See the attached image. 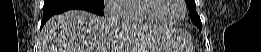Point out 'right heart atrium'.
I'll return each mask as SVG.
<instances>
[{
    "label": "right heart atrium",
    "mask_w": 261,
    "mask_h": 52,
    "mask_svg": "<svg viewBox=\"0 0 261 52\" xmlns=\"http://www.w3.org/2000/svg\"><path fill=\"white\" fill-rule=\"evenodd\" d=\"M126 0H105L103 5L104 12L107 16L117 17L121 16L120 12L116 9V6L122 4Z\"/></svg>",
    "instance_id": "1"
}]
</instances>
